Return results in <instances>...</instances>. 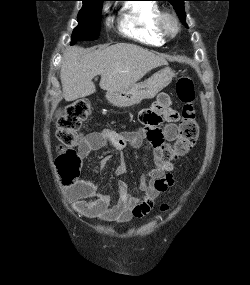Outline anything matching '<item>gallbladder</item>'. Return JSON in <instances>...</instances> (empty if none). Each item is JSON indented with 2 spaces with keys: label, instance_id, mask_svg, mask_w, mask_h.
<instances>
[{
  "label": "gallbladder",
  "instance_id": "1",
  "mask_svg": "<svg viewBox=\"0 0 250 285\" xmlns=\"http://www.w3.org/2000/svg\"><path fill=\"white\" fill-rule=\"evenodd\" d=\"M63 114V111H59L58 113H57V116H61Z\"/></svg>",
  "mask_w": 250,
  "mask_h": 285
}]
</instances>
